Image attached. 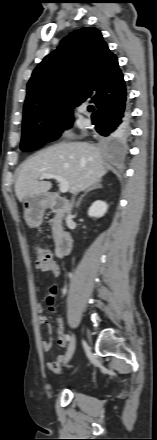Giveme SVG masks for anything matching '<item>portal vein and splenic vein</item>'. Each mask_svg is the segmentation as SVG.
Wrapping results in <instances>:
<instances>
[{"mask_svg":"<svg viewBox=\"0 0 157 440\" xmlns=\"http://www.w3.org/2000/svg\"><path fill=\"white\" fill-rule=\"evenodd\" d=\"M39 179H56L59 182V189L61 193H66L69 190V184L67 180L62 176L55 174H43Z\"/></svg>","mask_w":157,"mask_h":440,"instance_id":"portal-vein-and-splenic-vein-1","label":"portal vein and splenic vein"}]
</instances>
